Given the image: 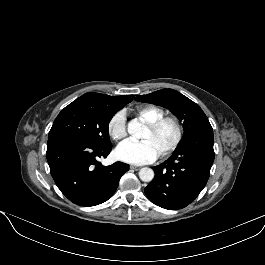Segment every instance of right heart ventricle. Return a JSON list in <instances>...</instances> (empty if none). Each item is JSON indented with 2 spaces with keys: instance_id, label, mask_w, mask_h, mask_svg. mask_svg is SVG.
<instances>
[{
  "instance_id": "right-heart-ventricle-1",
  "label": "right heart ventricle",
  "mask_w": 265,
  "mask_h": 265,
  "mask_svg": "<svg viewBox=\"0 0 265 265\" xmlns=\"http://www.w3.org/2000/svg\"><path fill=\"white\" fill-rule=\"evenodd\" d=\"M134 112L145 124L154 122L165 114L161 108L151 104L139 105L135 108Z\"/></svg>"
}]
</instances>
